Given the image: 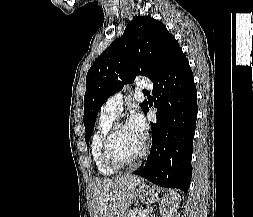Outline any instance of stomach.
Returning <instances> with one entry per match:
<instances>
[{"label":"stomach","instance_id":"obj_1","mask_svg":"<svg viewBox=\"0 0 253 217\" xmlns=\"http://www.w3.org/2000/svg\"><path fill=\"white\" fill-rule=\"evenodd\" d=\"M135 196L138 197L141 200L147 199V198H156L157 192L156 188L154 186L145 184L144 182H140L137 184L135 190H134Z\"/></svg>","mask_w":253,"mask_h":217}]
</instances>
